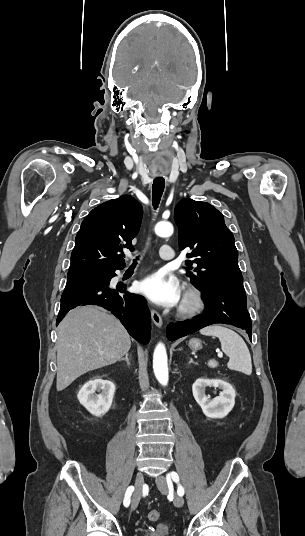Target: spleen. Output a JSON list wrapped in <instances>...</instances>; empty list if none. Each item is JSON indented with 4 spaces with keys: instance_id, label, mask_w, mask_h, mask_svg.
<instances>
[{
    "instance_id": "obj_1",
    "label": "spleen",
    "mask_w": 305,
    "mask_h": 536,
    "mask_svg": "<svg viewBox=\"0 0 305 536\" xmlns=\"http://www.w3.org/2000/svg\"><path fill=\"white\" fill-rule=\"evenodd\" d=\"M203 336H216L221 342L222 352L229 356L230 360L227 364L229 370H236V372H243L246 376L252 374V362L250 352L241 336L223 328L222 324H214V326H207L200 330ZM209 368H217L218 362L215 360H209Z\"/></svg>"
}]
</instances>
